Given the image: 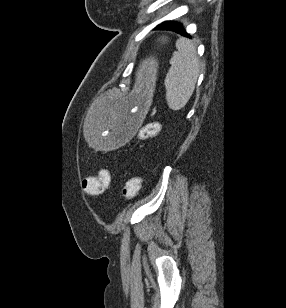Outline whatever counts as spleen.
Listing matches in <instances>:
<instances>
[{"label": "spleen", "instance_id": "spleen-1", "mask_svg": "<svg viewBox=\"0 0 286 308\" xmlns=\"http://www.w3.org/2000/svg\"><path fill=\"white\" fill-rule=\"evenodd\" d=\"M176 47L177 51L170 60L171 67L164 82L167 104L174 111L185 107L193 94L199 75V59L193 42L181 38Z\"/></svg>", "mask_w": 286, "mask_h": 308}]
</instances>
